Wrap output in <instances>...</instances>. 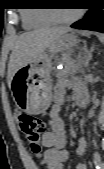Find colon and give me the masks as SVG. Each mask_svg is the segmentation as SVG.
Masks as SVG:
<instances>
[{
	"mask_svg": "<svg viewBox=\"0 0 104 169\" xmlns=\"http://www.w3.org/2000/svg\"><path fill=\"white\" fill-rule=\"evenodd\" d=\"M18 125L30 151L35 155H41L40 141L45 132L44 121L33 115L22 114L18 117Z\"/></svg>",
	"mask_w": 104,
	"mask_h": 169,
	"instance_id": "colon-1",
	"label": "colon"
}]
</instances>
